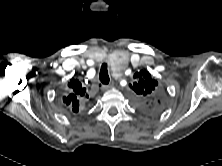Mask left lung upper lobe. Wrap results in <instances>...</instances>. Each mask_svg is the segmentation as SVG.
Listing matches in <instances>:
<instances>
[{
	"label": "left lung upper lobe",
	"mask_w": 222,
	"mask_h": 166,
	"mask_svg": "<svg viewBox=\"0 0 222 166\" xmlns=\"http://www.w3.org/2000/svg\"><path fill=\"white\" fill-rule=\"evenodd\" d=\"M134 78L136 81L130 87L139 95L142 99H149L150 95L155 91L158 82L151 77L149 72L140 71L135 73Z\"/></svg>",
	"instance_id": "1"
}]
</instances>
